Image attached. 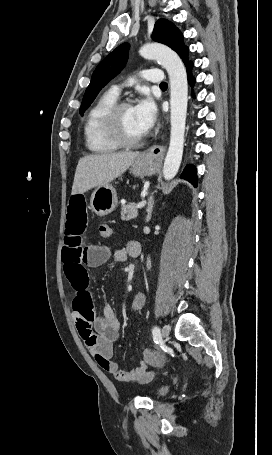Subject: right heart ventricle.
Returning a JSON list of instances; mask_svg holds the SVG:
<instances>
[{
	"instance_id": "1",
	"label": "right heart ventricle",
	"mask_w": 272,
	"mask_h": 455,
	"mask_svg": "<svg viewBox=\"0 0 272 455\" xmlns=\"http://www.w3.org/2000/svg\"><path fill=\"white\" fill-rule=\"evenodd\" d=\"M117 101L112 91L103 93L88 111L84 122L86 148L95 154H107L118 150L105 134L103 119L108 109Z\"/></svg>"
}]
</instances>
